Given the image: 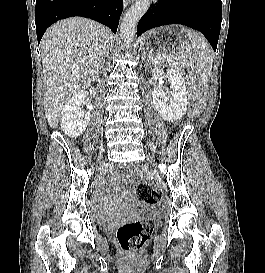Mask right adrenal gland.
Here are the masks:
<instances>
[{
	"label": "right adrenal gland",
	"mask_w": 265,
	"mask_h": 273,
	"mask_svg": "<svg viewBox=\"0 0 265 273\" xmlns=\"http://www.w3.org/2000/svg\"><path fill=\"white\" fill-rule=\"evenodd\" d=\"M108 56V51L106 52V54H105V57H107ZM103 66L101 65V68H102Z\"/></svg>",
	"instance_id": "obj_1"
}]
</instances>
